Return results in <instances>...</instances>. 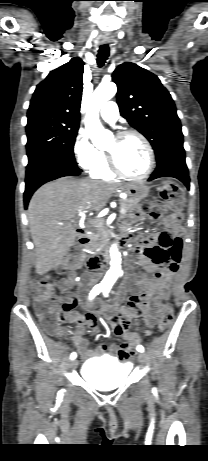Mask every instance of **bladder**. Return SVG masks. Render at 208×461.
<instances>
[{"label":"bladder","instance_id":"bladder-1","mask_svg":"<svg viewBox=\"0 0 208 461\" xmlns=\"http://www.w3.org/2000/svg\"><path fill=\"white\" fill-rule=\"evenodd\" d=\"M130 372V365L111 357L87 360L81 369L82 377L100 390H112L120 386Z\"/></svg>","mask_w":208,"mask_h":461}]
</instances>
